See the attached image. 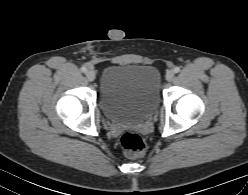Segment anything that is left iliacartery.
I'll return each mask as SVG.
<instances>
[{
	"label": "left iliac artery",
	"mask_w": 248,
	"mask_h": 195,
	"mask_svg": "<svg viewBox=\"0 0 248 195\" xmlns=\"http://www.w3.org/2000/svg\"><path fill=\"white\" fill-rule=\"evenodd\" d=\"M179 71H180V68H179V67H175V68H174V72H175V73H178Z\"/></svg>",
	"instance_id": "44dca946"
}]
</instances>
